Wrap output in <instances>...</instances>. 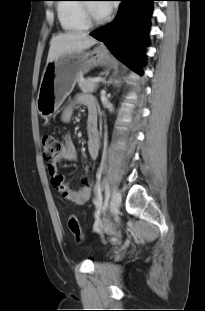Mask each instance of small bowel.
<instances>
[{
    "instance_id": "c3829d8e",
    "label": "small bowel",
    "mask_w": 205,
    "mask_h": 311,
    "mask_svg": "<svg viewBox=\"0 0 205 311\" xmlns=\"http://www.w3.org/2000/svg\"><path fill=\"white\" fill-rule=\"evenodd\" d=\"M75 104L85 105L88 109L86 124L88 137V155L94 161L98 158L100 147V136L97 126V105L94 98L88 94H80L75 101L68 105L63 113L62 120L70 122L73 116ZM77 158L76 148L69 134L64 136V143L61 150L54 158L47 163V171L51 176L52 186L68 201L76 205L85 204L92 195L93 181L88 177L83 178V186L80 189H73L66 182L65 177L58 172V164L62 161H75Z\"/></svg>"
}]
</instances>
